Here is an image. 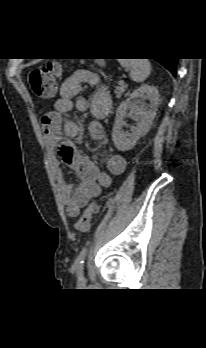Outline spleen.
I'll list each match as a JSON object with an SVG mask.
<instances>
[{"label": "spleen", "mask_w": 206, "mask_h": 348, "mask_svg": "<svg viewBox=\"0 0 206 348\" xmlns=\"http://www.w3.org/2000/svg\"><path fill=\"white\" fill-rule=\"evenodd\" d=\"M121 66L130 69V77L135 82H143L149 76L151 64L148 59H120Z\"/></svg>", "instance_id": "3e777b00"}]
</instances>
